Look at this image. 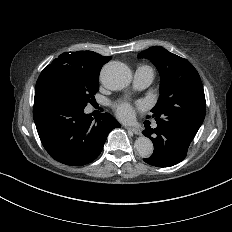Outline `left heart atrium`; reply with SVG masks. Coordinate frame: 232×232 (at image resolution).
I'll use <instances>...</instances> for the list:
<instances>
[{"label":"left heart atrium","instance_id":"1","mask_svg":"<svg viewBox=\"0 0 232 232\" xmlns=\"http://www.w3.org/2000/svg\"><path fill=\"white\" fill-rule=\"evenodd\" d=\"M117 114L123 119H131L134 111L129 104H122L117 107Z\"/></svg>","mask_w":232,"mask_h":232}]
</instances>
